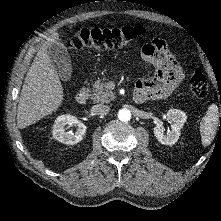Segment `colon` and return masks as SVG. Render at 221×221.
I'll return each mask as SVG.
<instances>
[{"label":"colon","instance_id":"obj_1","mask_svg":"<svg viewBox=\"0 0 221 221\" xmlns=\"http://www.w3.org/2000/svg\"><path fill=\"white\" fill-rule=\"evenodd\" d=\"M145 33L142 26L121 28H80L68 41L70 50L93 48L98 50L119 49ZM190 89L197 97L208 93V82L204 73L197 69L190 79Z\"/></svg>","mask_w":221,"mask_h":221}]
</instances>
